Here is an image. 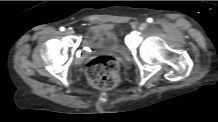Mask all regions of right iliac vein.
<instances>
[{"instance_id": "1", "label": "right iliac vein", "mask_w": 218, "mask_h": 122, "mask_svg": "<svg viewBox=\"0 0 218 122\" xmlns=\"http://www.w3.org/2000/svg\"><path fill=\"white\" fill-rule=\"evenodd\" d=\"M65 34H66V35H71V34H72V31H71L70 29H67V30L65 31Z\"/></svg>"}]
</instances>
